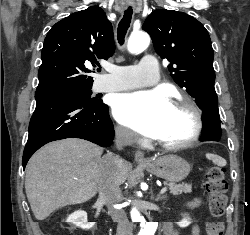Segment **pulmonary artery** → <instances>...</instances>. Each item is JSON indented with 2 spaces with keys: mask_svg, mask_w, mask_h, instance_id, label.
Here are the masks:
<instances>
[{
  "mask_svg": "<svg viewBox=\"0 0 250 235\" xmlns=\"http://www.w3.org/2000/svg\"><path fill=\"white\" fill-rule=\"evenodd\" d=\"M158 61L145 55L138 65L112 66L106 81L97 82L100 92H114L153 85L157 82Z\"/></svg>",
  "mask_w": 250,
  "mask_h": 235,
  "instance_id": "pulmonary-artery-1",
  "label": "pulmonary artery"
}]
</instances>
